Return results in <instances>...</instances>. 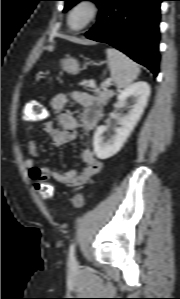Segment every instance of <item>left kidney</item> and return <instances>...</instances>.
Returning <instances> with one entry per match:
<instances>
[{
	"label": "left kidney",
	"mask_w": 180,
	"mask_h": 299,
	"mask_svg": "<svg viewBox=\"0 0 180 299\" xmlns=\"http://www.w3.org/2000/svg\"><path fill=\"white\" fill-rule=\"evenodd\" d=\"M149 96L150 87L143 81L134 83L120 92L116 107H129V111L119 119L120 127L115 128V135L107 141L103 137L107 126L102 125L97 128L93 145L94 152L99 159H107L121 149L143 114Z\"/></svg>",
	"instance_id": "left-kidney-1"
}]
</instances>
